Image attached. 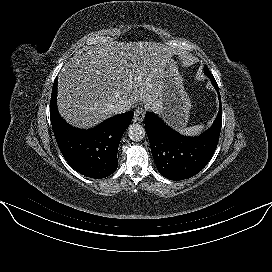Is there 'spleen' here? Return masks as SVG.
Listing matches in <instances>:
<instances>
[{
	"label": "spleen",
	"mask_w": 272,
	"mask_h": 272,
	"mask_svg": "<svg viewBox=\"0 0 272 272\" xmlns=\"http://www.w3.org/2000/svg\"><path fill=\"white\" fill-rule=\"evenodd\" d=\"M204 129V125H195L192 127H187L181 130L182 134L188 136H195L198 135Z\"/></svg>",
	"instance_id": "3e777b00"
}]
</instances>
